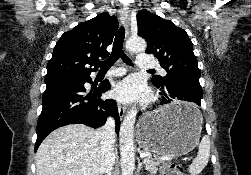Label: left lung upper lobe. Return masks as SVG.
I'll use <instances>...</instances> for the list:
<instances>
[{
  "label": "left lung upper lobe",
  "mask_w": 251,
  "mask_h": 175,
  "mask_svg": "<svg viewBox=\"0 0 251 175\" xmlns=\"http://www.w3.org/2000/svg\"><path fill=\"white\" fill-rule=\"evenodd\" d=\"M137 24L138 35L148 43L146 53L153 54L167 71L165 77L152 78L155 86L163 87L175 77L199 82L201 72L186 31L147 10L137 13Z\"/></svg>",
  "instance_id": "obj_1"
}]
</instances>
